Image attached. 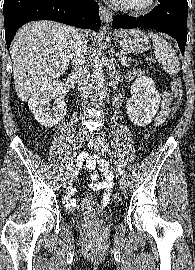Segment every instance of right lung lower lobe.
Masks as SVG:
<instances>
[{
	"mask_svg": "<svg viewBox=\"0 0 195 270\" xmlns=\"http://www.w3.org/2000/svg\"><path fill=\"white\" fill-rule=\"evenodd\" d=\"M3 14L8 49L17 30L30 21L53 20L95 31L101 25L92 0H4Z\"/></svg>",
	"mask_w": 195,
	"mask_h": 270,
	"instance_id": "obj_1",
	"label": "right lung lower lobe"
}]
</instances>
